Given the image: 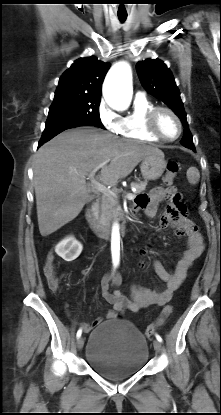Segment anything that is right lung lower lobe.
I'll use <instances>...</instances> for the list:
<instances>
[{
	"label": "right lung lower lobe",
	"instance_id": "obj_1",
	"mask_svg": "<svg viewBox=\"0 0 221 415\" xmlns=\"http://www.w3.org/2000/svg\"><path fill=\"white\" fill-rule=\"evenodd\" d=\"M79 126H92L83 121H46L45 130L42 133V137L38 143V147L43 145L45 142L52 139L64 130L75 128Z\"/></svg>",
	"mask_w": 221,
	"mask_h": 415
}]
</instances>
